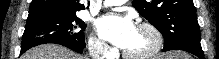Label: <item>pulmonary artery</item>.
<instances>
[{"label": "pulmonary artery", "instance_id": "obj_1", "mask_svg": "<svg viewBox=\"0 0 219 59\" xmlns=\"http://www.w3.org/2000/svg\"><path fill=\"white\" fill-rule=\"evenodd\" d=\"M126 1L124 0H106L103 2L104 6H115V5H121L124 4Z\"/></svg>", "mask_w": 219, "mask_h": 59}]
</instances>
